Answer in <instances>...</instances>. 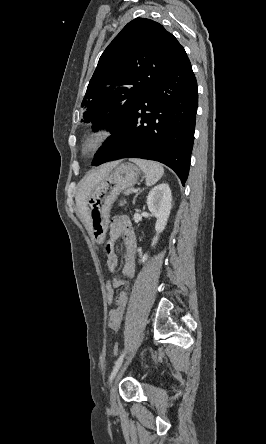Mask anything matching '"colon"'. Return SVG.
Here are the masks:
<instances>
[{
    "label": "colon",
    "instance_id": "colon-1",
    "mask_svg": "<svg viewBox=\"0 0 266 444\" xmlns=\"http://www.w3.org/2000/svg\"><path fill=\"white\" fill-rule=\"evenodd\" d=\"M115 289L116 288L113 283V278L109 279L105 285V295L108 304H112L115 301V295H114ZM118 352H119V345L115 344L113 347V353L118 354Z\"/></svg>",
    "mask_w": 266,
    "mask_h": 444
}]
</instances>
